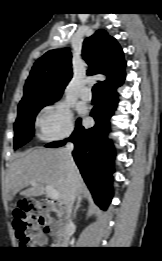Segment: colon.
<instances>
[{
  "label": "colon",
  "instance_id": "colon-1",
  "mask_svg": "<svg viewBox=\"0 0 162 261\" xmlns=\"http://www.w3.org/2000/svg\"><path fill=\"white\" fill-rule=\"evenodd\" d=\"M47 209L46 204L26 201L14 210L13 227L22 247L32 248L45 242L41 228Z\"/></svg>",
  "mask_w": 162,
  "mask_h": 261
}]
</instances>
